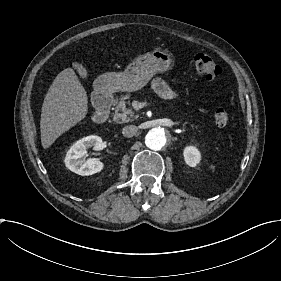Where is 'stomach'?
I'll return each instance as SVG.
<instances>
[{"label":"stomach","mask_w":281,"mask_h":281,"mask_svg":"<svg viewBox=\"0 0 281 281\" xmlns=\"http://www.w3.org/2000/svg\"><path fill=\"white\" fill-rule=\"evenodd\" d=\"M172 55L166 50L145 53L133 61L123 72H106L97 78L103 91H136L157 72L170 68Z\"/></svg>","instance_id":"0dacf381"}]
</instances>
